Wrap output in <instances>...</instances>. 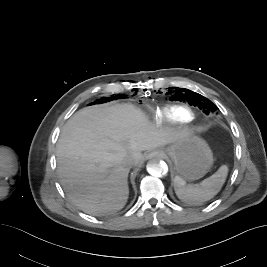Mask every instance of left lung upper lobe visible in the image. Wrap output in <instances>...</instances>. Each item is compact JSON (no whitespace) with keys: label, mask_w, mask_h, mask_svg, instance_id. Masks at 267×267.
<instances>
[{"label":"left lung upper lobe","mask_w":267,"mask_h":267,"mask_svg":"<svg viewBox=\"0 0 267 267\" xmlns=\"http://www.w3.org/2000/svg\"><path fill=\"white\" fill-rule=\"evenodd\" d=\"M162 98L165 102L171 103L174 106L199 107L206 114L217 110L216 105L204 96L180 87H165L162 91Z\"/></svg>","instance_id":"left-lung-upper-lobe-1"}]
</instances>
